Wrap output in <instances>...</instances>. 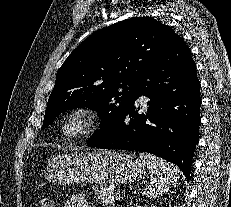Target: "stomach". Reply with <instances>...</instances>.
Instances as JSON below:
<instances>
[{"label": "stomach", "instance_id": "stomach-1", "mask_svg": "<svg viewBox=\"0 0 231 207\" xmlns=\"http://www.w3.org/2000/svg\"><path fill=\"white\" fill-rule=\"evenodd\" d=\"M145 173V163L136 156L109 150L62 154L46 168L47 179L60 185L133 183Z\"/></svg>", "mask_w": 231, "mask_h": 207}]
</instances>
